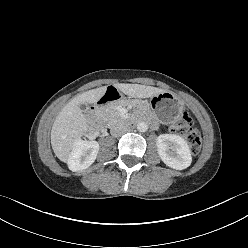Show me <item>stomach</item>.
Returning <instances> with one entry per match:
<instances>
[{"label":"stomach","instance_id":"0dacf381","mask_svg":"<svg viewBox=\"0 0 248 248\" xmlns=\"http://www.w3.org/2000/svg\"><path fill=\"white\" fill-rule=\"evenodd\" d=\"M149 109L160 121L170 123L181 114L183 103L175 94L165 91L151 97Z\"/></svg>","mask_w":248,"mask_h":248}]
</instances>
